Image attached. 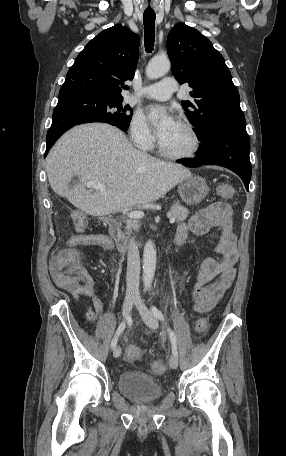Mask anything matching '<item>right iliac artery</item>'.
<instances>
[{
	"label": "right iliac artery",
	"mask_w": 286,
	"mask_h": 456,
	"mask_svg": "<svg viewBox=\"0 0 286 456\" xmlns=\"http://www.w3.org/2000/svg\"><path fill=\"white\" fill-rule=\"evenodd\" d=\"M125 328H126V322L123 321V322L119 325V327H118V329H117V331H116V333H115V335H114V337H113V339H112V342H111V347H112V349H114V348L116 347L117 341H118V337H119L120 334L124 331Z\"/></svg>",
	"instance_id": "right-iliac-artery-1"
}]
</instances>
